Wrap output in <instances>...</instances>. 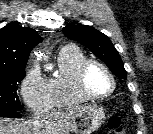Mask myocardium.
Listing matches in <instances>:
<instances>
[{
    "label": "myocardium",
    "mask_w": 153,
    "mask_h": 134,
    "mask_svg": "<svg viewBox=\"0 0 153 134\" xmlns=\"http://www.w3.org/2000/svg\"><path fill=\"white\" fill-rule=\"evenodd\" d=\"M92 66H98L109 76L112 86L108 92L103 94H92L87 90L85 83L86 74L89 68ZM74 84L77 93L82 98H84L85 100L95 101L107 98L112 95L116 89L117 81L112 71L104 63L96 59H85L75 71Z\"/></svg>",
    "instance_id": "obj_1"
}]
</instances>
